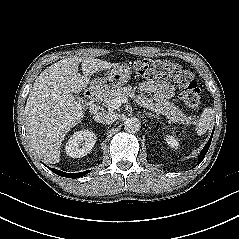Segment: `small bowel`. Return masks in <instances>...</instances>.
<instances>
[{"mask_svg":"<svg viewBox=\"0 0 239 239\" xmlns=\"http://www.w3.org/2000/svg\"><path fill=\"white\" fill-rule=\"evenodd\" d=\"M140 90L153 93L157 100H165L172 96L173 87L164 80H149L140 85Z\"/></svg>","mask_w":239,"mask_h":239,"instance_id":"1","label":"small bowel"}]
</instances>
